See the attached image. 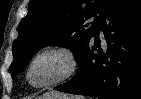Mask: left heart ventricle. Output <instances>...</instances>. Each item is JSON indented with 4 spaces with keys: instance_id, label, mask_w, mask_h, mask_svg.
<instances>
[{
    "instance_id": "1",
    "label": "left heart ventricle",
    "mask_w": 141,
    "mask_h": 99,
    "mask_svg": "<svg viewBox=\"0 0 141 99\" xmlns=\"http://www.w3.org/2000/svg\"><path fill=\"white\" fill-rule=\"evenodd\" d=\"M69 69L66 57L59 53H50L39 58L34 64L30 78L36 85H42L62 77Z\"/></svg>"
}]
</instances>
